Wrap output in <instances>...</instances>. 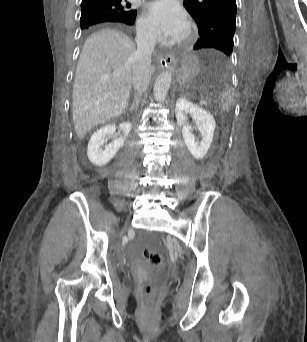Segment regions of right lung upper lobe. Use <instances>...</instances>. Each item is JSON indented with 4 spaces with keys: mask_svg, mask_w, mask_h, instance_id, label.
Segmentation results:
<instances>
[{
    "mask_svg": "<svg viewBox=\"0 0 307 342\" xmlns=\"http://www.w3.org/2000/svg\"><path fill=\"white\" fill-rule=\"evenodd\" d=\"M131 4L126 0H82L81 9H110L116 11L119 16L115 19L104 21L120 25L130 26L135 22L137 11L130 8ZM99 22L96 24L104 23ZM93 24V25H96ZM92 25L83 28L88 30Z\"/></svg>",
    "mask_w": 307,
    "mask_h": 342,
    "instance_id": "right-lung-upper-lobe-1",
    "label": "right lung upper lobe"
}]
</instances>
